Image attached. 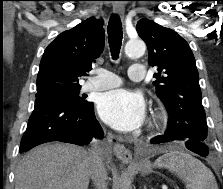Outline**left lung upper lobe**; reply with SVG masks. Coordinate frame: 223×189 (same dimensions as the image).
Instances as JSON below:
<instances>
[{
	"label": "left lung upper lobe",
	"instance_id": "obj_1",
	"mask_svg": "<svg viewBox=\"0 0 223 189\" xmlns=\"http://www.w3.org/2000/svg\"><path fill=\"white\" fill-rule=\"evenodd\" d=\"M136 30L148 47L149 65L157 66L153 84L170 116L165 135L208 143L199 75L188 43L149 19L139 20Z\"/></svg>",
	"mask_w": 223,
	"mask_h": 189
}]
</instances>
